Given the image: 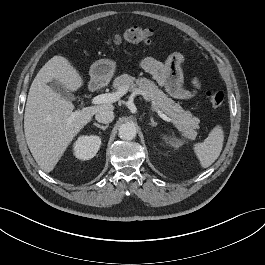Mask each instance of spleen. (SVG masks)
Wrapping results in <instances>:
<instances>
[{
  "instance_id": "3e777b00",
  "label": "spleen",
  "mask_w": 265,
  "mask_h": 265,
  "mask_svg": "<svg viewBox=\"0 0 265 265\" xmlns=\"http://www.w3.org/2000/svg\"><path fill=\"white\" fill-rule=\"evenodd\" d=\"M224 141V132L221 126H216L202 143L194 147L195 153L203 168L209 167L219 157Z\"/></svg>"
}]
</instances>
